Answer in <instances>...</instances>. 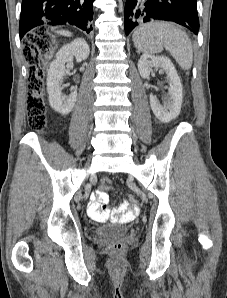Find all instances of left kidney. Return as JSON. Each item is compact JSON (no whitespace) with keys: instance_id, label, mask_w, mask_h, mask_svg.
I'll use <instances>...</instances> for the list:
<instances>
[{"instance_id":"1","label":"left kidney","mask_w":227,"mask_h":298,"mask_svg":"<svg viewBox=\"0 0 227 298\" xmlns=\"http://www.w3.org/2000/svg\"><path fill=\"white\" fill-rule=\"evenodd\" d=\"M152 68L165 70L169 80V100L161 105L156 96L150 94V105L155 116L167 123L175 119L180 111L183 99V88L177 71L168 57L143 54L138 61V70L142 78L149 79Z\"/></svg>"}]
</instances>
